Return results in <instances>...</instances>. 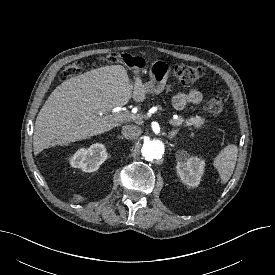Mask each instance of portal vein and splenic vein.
<instances>
[{"label": "portal vein and splenic vein", "instance_id": "obj_1", "mask_svg": "<svg viewBox=\"0 0 275 275\" xmlns=\"http://www.w3.org/2000/svg\"><path fill=\"white\" fill-rule=\"evenodd\" d=\"M110 118L113 120V121H116V122H120V121H125V120H130V119H135L136 117L131 114V115H128V114H125V113H122L120 112L119 110L117 109H114L112 114H110ZM172 125L176 126V125H180L179 123L176 124L174 122H170Z\"/></svg>", "mask_w": 275, "mask_h": 275}]
</instances>
